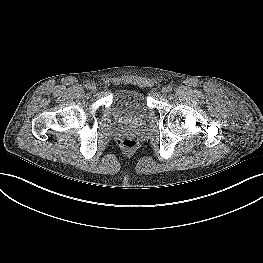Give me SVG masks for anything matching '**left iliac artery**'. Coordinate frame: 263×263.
Listing matches in <instances>:
<instances>
[{
  "label": "left iliac artery",
  "instance_id": "obj_1",
  "mask_svg": "<svg viewBox=\"0 0 263 263\" xmlns=\"http://www.w3.org/2000/svg\"><path fill=\"white\" fill-rule=\"evenodd\" d=\"M167 89H168L169 92H171V91H172V86L169 85V86L167 87Z\"/></svg>",
  "mask_w": 263,
  "mask_h": 263
}]
</instances>
